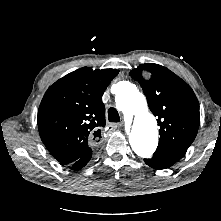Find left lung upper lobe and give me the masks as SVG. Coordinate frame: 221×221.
<instances>
[{"mask_svg":"<svg viewBox=\"0 0 221 221\" xmlns=\"http://www.w3.org/2000/svg\"><path fill=\"white\" fill-rule=\"evenodd\" d=\"M151 72L149 80L141 72ZM129 75L140 82L151 112L160 126L157 151L183 156L194 141L200 123L199 103L191 87L169 69L142 64Z\"/></svg>","mask_w":221,"mask_h":221,"instance_id":"left-lung-upper-lobe-1","label":"left lung upper lobe"}]
</instances>
